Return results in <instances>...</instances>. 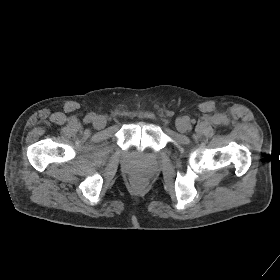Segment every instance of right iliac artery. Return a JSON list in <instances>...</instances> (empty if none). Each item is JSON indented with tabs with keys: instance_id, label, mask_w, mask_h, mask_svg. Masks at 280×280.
<instances>
[{
	"instance_id": "82829eb1",
	"label": "right iliac artery",
	"mask_w": 280,
	"mask_h": 280,
	"mask_svg": "<svg viewBox=\"0 0 280 280\" xmlns=\"http://www.w3.org/2000/svg\"><path fill=\"white\" fill-rule=\"evenodd\" d=\"M94 119H95V115L91 113V114H89L85 117L84 121L88 123V122H91Z\"/></svg>"
}]
</instances>
